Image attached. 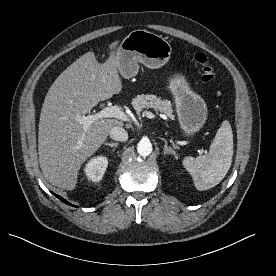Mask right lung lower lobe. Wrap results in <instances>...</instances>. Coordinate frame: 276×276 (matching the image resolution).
Listing matches in <instances>:
<instances>
[{"instance_id":"right-lung-lower-lobe-1","label":"right lung lower lobe","mask_w":276,"mask_h":276,"mask_svg":"<svg viewBox=\"0 0 276 276\" xmlns=\"http://www.w3.org/2000/svg\"><path fill=\"white\" fill-rule=\"evenodd\" d=\"M58 199H60L62 202H64V203H66V204H68V205H71V206H74L75 207V205H72V204H70L69 202H67L66 200H64L62 197H60L59 195H57V194H55V193H53Z\"/></svg>"}]
</instances>
